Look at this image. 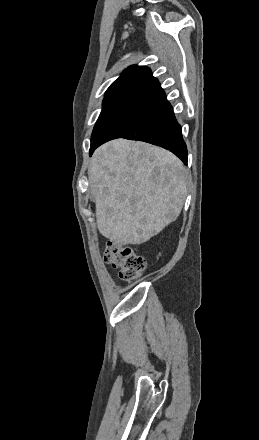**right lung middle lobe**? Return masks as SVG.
<instances>
[{"mask_svg": "<svg viewBox=\"0 0 259 440\" xmlns=\"http://www.w3.org/2000/svg\"><path fill=\"white\" fill-rule=\"evenodd\" d=\"M146 93H120L105 96L101 114L93 129L91 142L106 136L144 98Z\"/></svg>", "mask_w": 259, "mask_h": 440, "instance_id": "1", "label": "right lung middle lobe"}]
</instances>
